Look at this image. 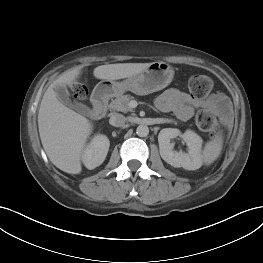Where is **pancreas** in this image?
<instances>
[{
    "label": "pancreas",
    "mask_w": 263,
    "mask_h": 263,
    "mask_svg": "<svg viewBox=\"0 0 263 263\" xmlns=\"http://www.w3.org/2000/svg\"><path fill=\"white\" fill-rule=\"evenodd\" d=\"M133 99L131 95H121L116 97L109 104V109L113 111H121L127 113L132 111V108L129 106V102Z\"/></svg>",
    "instance_id": "1"
}]
</instances>
